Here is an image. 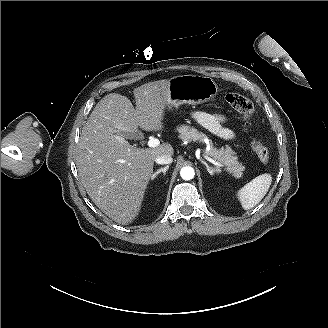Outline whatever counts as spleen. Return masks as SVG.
I'll use <instances>...</instances> for the list:
<instances>
[{
	"label": "spleen",
	"instance_id": "1",
	"mask_svg": "<svg viewBox=\"0 0 328 328\" xmlns=\"http://www.w3.org/2000/svg\"><path fill=\"white\" fill-rule=\"evenodd\" d=\"M271 182L272 176L265 173L255 177L252 182L238 189L236 198L242 209L247 211L255 207L268 192Z\"/></svg>",
	"mask_w": 328,
	"mask_h": 328
}]
</instances>
